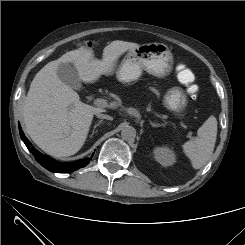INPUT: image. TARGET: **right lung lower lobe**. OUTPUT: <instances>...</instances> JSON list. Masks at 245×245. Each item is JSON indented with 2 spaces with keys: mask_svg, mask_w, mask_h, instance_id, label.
I'll list each match as a JSON object with an SVG mask.
<instances>
[{
  "mask_svg": "<svg viewBox=\"0 0 245 245\" xmlns=\"http://www.w3.org/2000/svg\"><path fill=\"white\" fill-rule=\"evenodd\" d=\"M19 132H20L21 139L23 140V142L25 143L29 151L34 155L37 162L51 172H55V173L72 172L79 168L85 167L90 161V158H85L70 163H61L56 160H53L51 157L47 155H43L39 151L34 149V147L31 145L29 140L25 137L23 131L21 130L20 125H19Z\"/></svg>",
  "mask_w": 245,
  "mask_h": 245,
  "instance_id": "obj_1",
  "label": "right lung lower lobe"
}]
</instances>
